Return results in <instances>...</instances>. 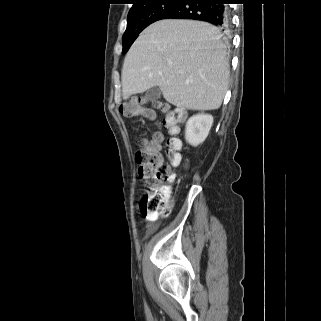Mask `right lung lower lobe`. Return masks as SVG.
Here are the masks:
<instances>
[{"instance_id": "obj_1", "label": "right lung lower lobe", "mask_w": 321, "mask_h": 321, "mask_svg": "<svg viewBox=\"0 0 321 321\" xmlns=\"http://www.w3.org/2000/svg\"><path fill=\"white\" fill-rule=\"evenodd\" d=\"M229 0H179L170 10L159 17L161 19H193L209 22L220 29L230 24Z\"/></svg>"}]
</instances>
